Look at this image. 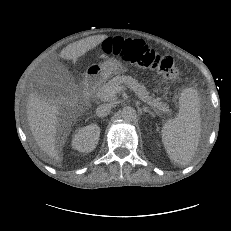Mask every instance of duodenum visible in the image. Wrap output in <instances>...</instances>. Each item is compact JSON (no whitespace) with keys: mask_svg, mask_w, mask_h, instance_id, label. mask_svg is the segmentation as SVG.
Returning <instances> with one entry per match:
<instances>
[{"mask_svg":"<svg viewBox=\"0 0 231 231\" xmlns=\"http://www.w3.org/2000/svg\"><path fill=\"white\" fill-rule=\"evenodd\" d=\"M99 82V77L96 75H89L85 79V87H84V100L88 101L93 93L94 90Z\"/></svg>","mask_w":231,"mask_h":231,"instance_id":"duodenum-1","label":"duodenum"}]
</instances>
